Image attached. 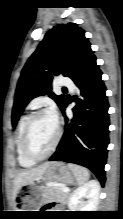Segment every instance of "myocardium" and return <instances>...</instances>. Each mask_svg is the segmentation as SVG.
I'll use <instances>...</instances> for the list:
<instances>
[{
	"instance_id": "f54148a6",
	"label": "myocardium",
	"mask_w": 123,
	"mask_h": 219,
	"mask_svg": "<svg viewBox=\"0 0 123 219\" xmlns=\"http://www.w3.org/2000/svg\"><path fill=\"white\" fill-rule=\"evenodd\" d=\"M44 114L50 115V112L47 110H43V109L36 110V111L32 112L27 118V121H26L25 126H24L23 135H22L23 153L29 160L34 161V162L41 161V160H44L47 157H49L55 151L56 147L58 146V144L61 140V136H62L61 126H60L59 122L56 120L55 121L56 122V136H55V139H54L52 145L50 146V148L45 153H43L41 155H36L30 150V148H29V133H30L31 125L36 117H38L40 115H44Z\"/></svg>"
}]
</instances>
